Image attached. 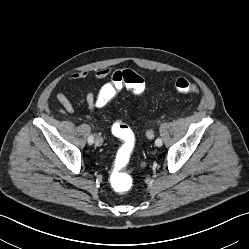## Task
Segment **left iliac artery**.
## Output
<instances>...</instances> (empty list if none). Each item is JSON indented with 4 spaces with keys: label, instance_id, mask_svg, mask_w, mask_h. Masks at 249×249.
I'll list each match as a JSON object with an SVG mask.
<instances>
[{
    "label": "left iliac artery",
    "instance_id": "44dca946",
    "mask_svg": "<svg viewBox=\"0 0 249 249\" xmlns=\"http://www.w3.org/2000/svg\"><path fill=\"white\" fill-rule=\"evenodd\" d=\"M155 144H156V146L160 147L162 145V140L160 138H157L155 140Z\"/></svg>",
    "mask_w": 249,
    "mask_h": 249
}]
</instances>
